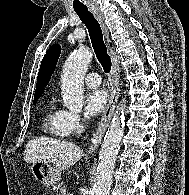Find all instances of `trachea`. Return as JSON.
<instances>
[{
  "mask_svg": "<svg viewBox=\"0 0 189 195\" xmlns=\"http://www.w3.org/2000/svg\"><path fill=\"white\" fill-rule=\"evenodd\" d=\"M75 12L88 29L92 47L99 63L102 65L104 72L111 70V58L107 53L106 45L103 41V34L99 22L87 7H75Z\"/></svg>",
  "mask_w": 189,
  "mask_h": 195,
  "instance_id": "3493384b",
  "label": "trachea"
}]
</instances>
